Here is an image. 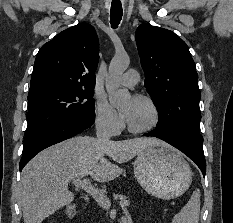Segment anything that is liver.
Returning <instances> with one entry per match:
<instances>
[{
  "label": "liver",
  "mask_w": 233,
  "mask_h": 223,
  "mask_svg": "<svg viewBox=\"0 0 233 223\" xmlns=\"http://www.w3.org/2000/svg\"><path fill=\"white\" fill-rule=\"evenodd\" d=\"M159 143L164 141L157 137L98 143L97 137L78 135L43 149L21 171L18 199L24 223H42L57 209L72 203L75 195L68 187L71 179L90 175L94 181H111L124 171L117 163H125L149 145Z\"/></svg>",
  "instance_id": "6515ba94"
}]
</instances>
